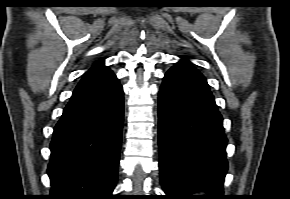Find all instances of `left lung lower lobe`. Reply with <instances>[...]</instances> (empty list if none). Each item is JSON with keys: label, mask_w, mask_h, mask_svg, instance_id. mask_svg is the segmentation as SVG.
Masks as SVG:
<instances>
[{"label": "left lung lower lobe", "mask_w": 290, "mask_h": 199, "mask_svg": "<svg viewBox=\"0 0 290 199\" xmlns=\"http://www.w3.org/2000/svg\"><path fill=\"white\" fill-rule=\"evenodd\" d=\"M160 180L167 196H223L228 168L223 118L204 76L186 59L165 74L159 91Z\"/></svg>", "instance_id": "left-lung-lower-lobe-1"}]
</instances>
